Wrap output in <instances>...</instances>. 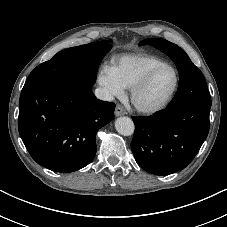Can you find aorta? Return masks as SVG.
<instances>
[{"instance_id": "1", "label": "aorta", "mask_w": 227, "mask_h": 227, "mask_svg": "<svg viewBox=\"0 0 227 227\" xmlns=\"http://www.w3.org/2000/svg\"><path fill=\"white\" fill-rule=\"evenodd\" d=\"M115 128L117 132L123 136H130L134 133V123L126 116H122L116 119Z\"/></svg>"}]
</instances>
